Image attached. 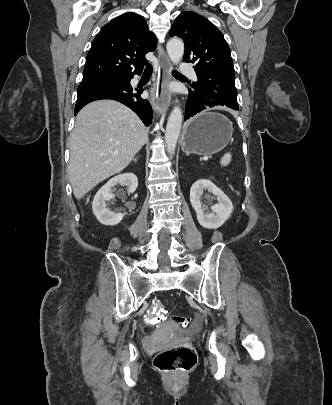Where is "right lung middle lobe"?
Listing matches in <instances>:
<instances>
[{
    "label": "right lung middle lobe",
    "instance_id": "1",
    "mask_svg": "<svg viewBox=\"0 0 332 405\" xmlns=\"http://www.w3.org/2000/svg\"><path fill=\"white\" fill-rule=\"evenodd\" d=\"M123 77L121 76H99V77H83L81 84L87 83L94 80H120Z\"/></svg>",
    "mask_w": 332,
    "mask_h": 405
}]
</instances>
